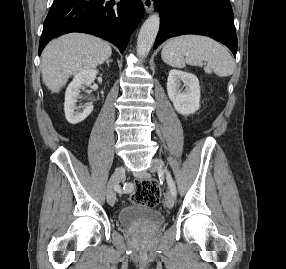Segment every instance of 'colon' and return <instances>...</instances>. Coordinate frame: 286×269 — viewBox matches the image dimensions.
<instances>
[{
	"label": "colon",
	"instance_id": "obj_1",
	"mask_svg": "<svg viewBox=\"0 0 286 269\" xmlns=\"http://www.w3.org/2000/svg\"><path fill=\"white\" fill-rule=\"evenodd\" d=\"M159 190L154 180H139L131 201L144 207H154L159 202Z\"/></svg>",
	"mask_w": 286,
	"mask_h": 269
}]
</instances>
